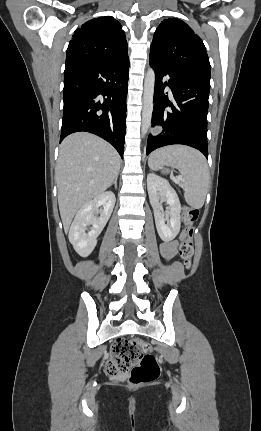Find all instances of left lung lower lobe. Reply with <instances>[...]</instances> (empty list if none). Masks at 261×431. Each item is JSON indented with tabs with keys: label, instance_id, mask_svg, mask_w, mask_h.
I'll return each mask as SVG.
<instances>
[{
	"label": "left lung lower lobe",
	"instance_id": "0a47b994",
	"mask_svg": "<svg viewBox=\"0 0 261 431\" xmlns=\"http://www.w3.org/2000/svg\"><path fill=\"white\" fill-rule=\"evenodd\" d=\"M149 63L155 71L152 127H157V133L149 135L146 154L166 145L183 144L198 149L208 159L210 79L171 67L152 56ZM166 75L169 81L163 83ZM165 86L171 88L173 102L164 94Z\"/></svg>",
	"mask_w": 261,
	"mask_h": 431
}]
</instances>
